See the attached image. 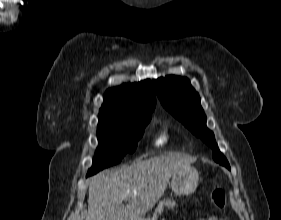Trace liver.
I'll list each match as a JSON object with an SVG mask.
<instances>
[{"label": "liver", "instance_id": "6515ba94", "mask_svg": "<svg viewBox=\"0 0 281 220\" xmlns=\"http://www.w3.org/2000/svg\"><path fill=\"white\" fill-rule=\"evenodd\" d=\"M193 159L168 153L104 170L89 181L88 215L86 220H142L164 194L171 176L191 167ZM129 195L128 203L122 201ZM135 192V193H134Z\"/></svg>", "mask_w": 281, "mask_h": 220}]
</instances>
